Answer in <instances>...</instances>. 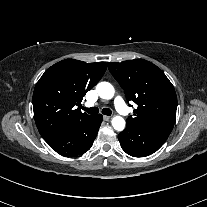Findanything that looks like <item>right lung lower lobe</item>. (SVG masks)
Returning <instances> with one entry per match:
<instances>
[{"instance_id": "1", "label": "right lung lower lobe", "mask_w": 207, "mask_h": 207, "mask_svg": "<svg viewBox=\"0 0 207 207\" xmlns=\"http://www.w3.org/2000/svg\"><path fill=\"white\" fill-rule=\"evenodd\" d=\"M102 120L101 114L92 115L66 127L58 135L47 140V143L64 156L74 157L83 154L92 146Z\"/></svg>"}]
</instances>
